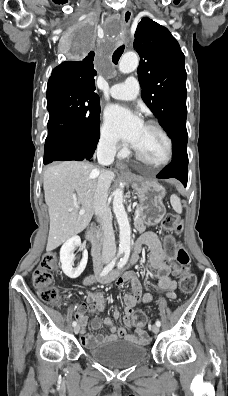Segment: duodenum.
Here are the masks:
<instances>
[{
	"instance_id": "1",
	"label": "duodenum",
	"mask_w": 228,
	"mask_h": 396,
	"mask_svg": "<svg viewBox=\"0 0 228 396\" xmlns=\"http://www.w3.org/2000/svg\"><path fill=\"white\" fill-rule=\"evenodd\" d=\"M87 239L91 244L92 247V253L93 256L95 257L96 260H98L99 255H100V248H99V243H98V234L96 231H91L88 235H87ZM122 270H116L114 272H112L110 274V276L108 277V280H111L113 278L119 277L121 276Z\"/></svg>"
}]
</instances>
